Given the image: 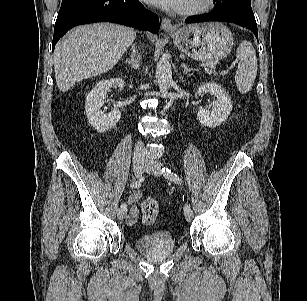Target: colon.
Returning a JSON list of instances; mask_svg holds the SVG:
<instances>
[{
    "label": "colon",
    "mask_w": 307,
    "mask_h": 301,
    "mask_svg": "<svg viewBox=\"0 0 307 301\" xmlns=\"http://www.w3.org/2000/svg\"><path fill=\"white\" fill-rule=\"evenodd\" d=\"M159 213V204L154 198H147L142 203V219L146 225H151L155 222Z\"/></svg>",
    "instance_id": "obj_1"
}]
</instances>
